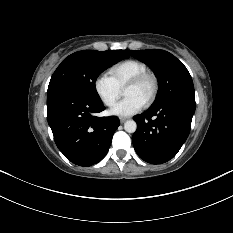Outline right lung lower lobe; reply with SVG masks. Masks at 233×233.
Returning a JSON list of instances; mask_svg holds the SVG:
<instances>
[{"label": "right lung lower lobe", "instance_id": "right-lung-lower-lobe-1", "mask_svg": "<svg viewBox=\"0 0 233 233\" xmlns=\"http://www.w3.org/2000/svg\"><path fill=\"white\" fill-rule=\"evenodd\" d=\"M103 110L102 101L69 93L47 95V119L55 143L72 163L91 166L107 154L119 120L94 116Z\"/></svg>", "mask_w": 233, "mask_h": 233}]
</instances>
